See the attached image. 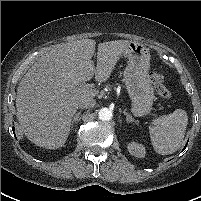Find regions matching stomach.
<instances>
[{
    "label": "stomach",
    "mask_w": 201,
    "mask_h": 201,
    "mask_svg": "<svg viewBox=\"0 0 201 201\" xmlns=\"http://www.w3.org/2000/svg\"><path fill=\"white\" fill-rule=\"evenodd\" d=\"M121 56L128 59L123 81L132 101V112L136 116L147 115L155 98L154 89L148 76L149 49L141 43L128 41Z\"/></svg>",
    "instance_id": "stomach-1"
}]
</instances>
